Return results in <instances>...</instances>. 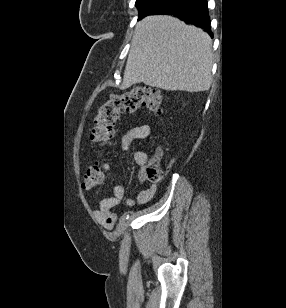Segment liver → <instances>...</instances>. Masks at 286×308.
<instances>
[{
	"instance_id": "6515ba94",
	"label": "liver",
	"mask_w": 286,
	"mask_h": 308,
	"mask_svg": "<svg viewBox=\"0 0 286 308\" xmlns=\"http://www.w3.org/2000/svg\"><path fill=\"white\" fill-rule=\"evenodd\" d=\"M212 57V40L202 29L172 16H147L135 27L122 88L144 83L167 91H206Z\"/></svg>"
}]
</instances>
